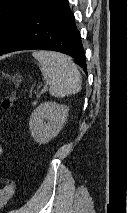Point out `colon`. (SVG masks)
I'll use <instances>...</instances> for the list:
<instances>
[{
  "instance_id": "colon-1",
  "label": "colon",
  "mask_w": 128,
  "mask_h": 213,
  "mask_svg": "<svg viewBox=\"0 0 128 213\" xmlns=\"http://www.w3.org/2000/svg\"><path fill=\"white\" fill-rule=\"evenodd\" d=\"M0 76L6 80H9L16 86L20 82V74L19 73H0ZM15 99V93L13 92L11 96L2 101L1 106L3 109L7 110L11 108L13 101ZM14 191V183L12 180H8L7 184L0 189V208L6 204V202L10 199Z\"/></svg>"
}]
</instances>
